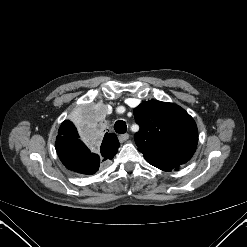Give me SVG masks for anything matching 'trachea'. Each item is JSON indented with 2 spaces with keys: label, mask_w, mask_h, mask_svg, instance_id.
Returning a JSON list of instances; mask_svg holds the SVG:
<instances>
[{
  "label": "trachea",
  "mask_w": 247,
  "mask_h": 247,
  "mask_svg": "<svg viewBox=\"0 0 247 247\" xmlns=\"http://www.w3.org/2000/svg\"><path fill=\"white\" fill-rule=\"evenodd\" d=\"M114 129L119 134H124L127 131V125L125 121L118 120L114 124Z\"/></svg>",
  "instance_id": "3493384b"
}]
</instances>
